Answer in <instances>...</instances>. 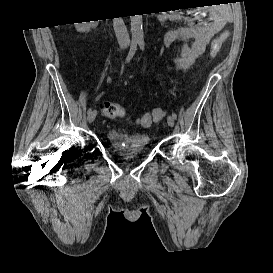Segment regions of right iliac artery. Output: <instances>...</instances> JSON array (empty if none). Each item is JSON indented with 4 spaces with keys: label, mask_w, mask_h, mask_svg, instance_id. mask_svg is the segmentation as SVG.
Segmentation results:
<instances>
[{
    "label": "right iliac artery",
    "mask_w": 273,
    "mask_h": 273,
    "mask_svg": "<svg viewBox=\"0 0 273 273\" xmlns=\"http://www.w3.org/2000/svg\"><path fill=\"white\" fill-rule=\"evenodd\" d=\"M137 50V42H132L131 46H130V50L128 52V55L125 59V64L129 63L130 60L133 58L135 52ZM92 111L91 108L88 109L87 113H90Z\"/></svg>",
    "instance_id": "obj_1"
}]
</instances>
